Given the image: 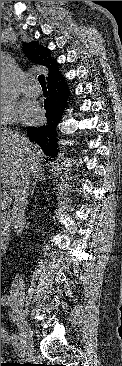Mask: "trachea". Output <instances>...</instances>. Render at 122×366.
Returning a JSON list of instances; mask_svg holds the SVG:
<instances>
[{"label":"trachea","instance_id":"1","mask_svg":"<svg viewBox=\"0 0 122 366\" xmlns=\"http://www.w3.org/2000/svg\"><path fill=\"white\" fill-rule=\"evenodd\" d=\"M38 81H39L42 88H47L44 75H39L38 76Z\"/></svg>","mask_w":122,"mask_h":366}]
</instances>
